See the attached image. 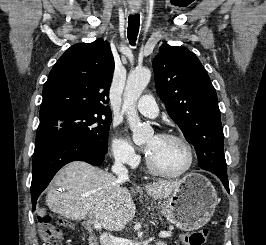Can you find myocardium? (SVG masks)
<instances>
[{
	"instance_id": "1",
	"label": "myocardium",
	"mask_w": 266,
	"mask_h": 245,
	"mask_svg": "<svg viewBox=\"0 0 266 245\" xmlns=\"http://www.w3.org/2000/svg\"><path fill=\"white\" fill-rule=\"evenodd\" d=\"M159 136L165 139H171V140H176V141L181 142L187 150V154H188L187 164L185 168L179 173L166 174V173H162L156 170L154 166L152 165V163L150 162L149 157H148L146 160V165H147L149 173L155 177L165 178V179H179V178L184 177L192 169L194 161H195V151H194L192 144L185 137H183L180 134H176V133L165 132V133H161Z\"/></svg>"
}]
</instances>
